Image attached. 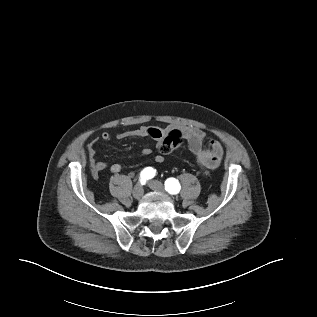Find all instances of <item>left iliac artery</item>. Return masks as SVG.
I'll use <instances>...</instances> for the list:
<instances>
[{
	"mask_svg": "<svg viewBox=\"0 0 317 317\" xmlns=\"http://www.w3.org/2000/svg\"><path fill=\"white\" fill-rule=\"evenodd\" d=\"M181 189L180 183L175 178H169L165 181V190L170 194H177Z\"/></svg>",
	"mask_w": 317,
	"mask_h": 317,
	"instance_id": "left-iliac-artery-1",
	"label": "left iliac artery"
}]
</instances>
